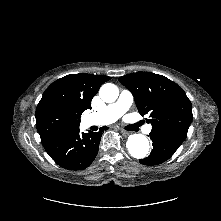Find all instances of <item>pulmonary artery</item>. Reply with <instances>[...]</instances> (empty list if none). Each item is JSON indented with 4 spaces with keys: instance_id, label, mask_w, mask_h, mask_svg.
<instances>
[{
    "instance_id": "e3ab8cb5",
    "label": "pulmonary artery",
    "mask_w": 221,
    "mask_h": 221,
    "mask_svg": "<svg viewBox=\"0 0 221 221\" xmlns=\"http://www.w3.org/2000/svg\"><path fill=\"white\" fill-rule=\"evenodd\" d=\"M133 95L128 90H123L118 99L99 112L90 115L91 123L95 125H107L118 120L132 105ZM151 126L145 128V132L151 131Z\"/></svg>"
}]
</instances>
